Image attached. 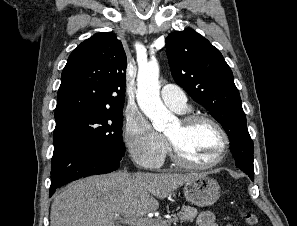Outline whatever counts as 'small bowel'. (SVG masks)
Returning <instances> with one entry per match:
<instances>
[{
    "label": "small bowel",
    "mask_w": 297,
    "mask_h": 226,
    "mask_svg": "<svg viewBox=\"0 0 297 226\" xmlns=\"http://www.w3.org/2000/svg\"><path fill=\"white\" fill-rule=\"evenodd\" d=\"M197 226H218L214 215L210 211L202 212L197 218ZM226 226H232L230 224Z\"/></svg>",
    "instance_id": "small-bowel-1"
}]
</instances>
